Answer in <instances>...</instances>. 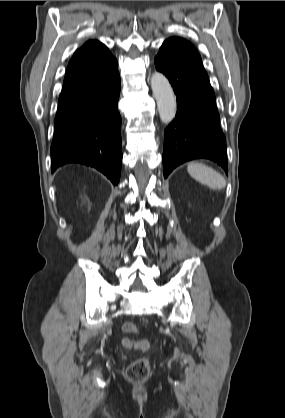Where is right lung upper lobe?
Returning <instances> with one entry per match:
<instances>
[{
    "label": "right lung upper lobe",
    "instance_id": "obj_1",
    "mask_svg": "<svg viewBox=\"0 0 285 418\" xmlns=\"http://www.w3.org/2000/svg\"><path fill=\"white\" fill-rule=\"evenodd\" d=\"M117 71V61L109 49L97 40L77 49L66 70L59 102L84 92Z\"/></svg>",
    "mask_w": 285,
    "mask_h": 418
}]
</instances>
